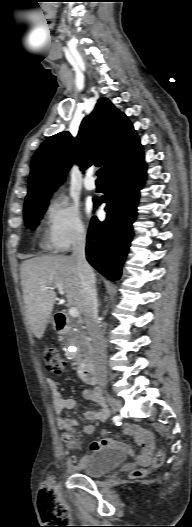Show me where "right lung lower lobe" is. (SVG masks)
<instances>
[{"label":"right lung lower lobe","instance_id":"right-lung-lower-lobe-1","mask_svg":"<svg viewBox=\"0 0 192 527\" xmlns=\"http://www.w3.org/2000/svg\"><path fill=\"white\" fill-rule=\"evenodd\" d=\"M146 164L141 145L105 174L106 191L95 206L106 203L107 218L93 217L87 234L89 263L111 281L121 276L122 264L133 237L139 190L145 180Z\"/></svg>","mask_w":192,"mask_h":527}]
</instances>
